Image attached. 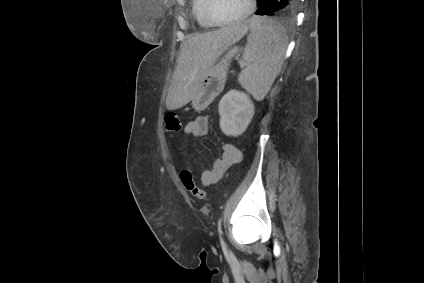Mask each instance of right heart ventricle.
Segmentation results:
<instances>
[{
  "instance_id": "right-heart-ventricle-1",
  "label": "right heart ventricle",
  "mask_w": 424,
  "mask_h": 283,
  "mask_svg": "<svg viewBox=\"0 0 424 283\" xmlns=\"http://www.w3.org/2000/svg\"><path fill=\"white\" fill-rule=\"evenodd\" d=\"M192 14L198 25L204 29H210L213 27L211 23L208 22L205 16L204 7L205 0H192Z\"/></svg>"
}]
</instances>
